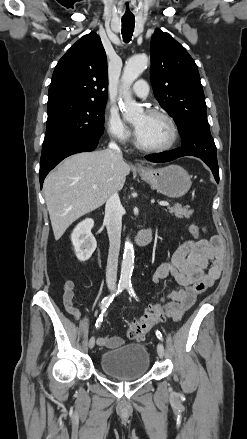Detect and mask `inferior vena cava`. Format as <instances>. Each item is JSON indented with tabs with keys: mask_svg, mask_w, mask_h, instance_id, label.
<instances>
[{
	"mask_svg": "<svg viewBox=\"0 0 247 439\" xmlns=\"http://www.w3.org/2000/svg\"><path fill=\"white\" fill-rule=\"evenodd\" d=\"M109 148L116 153L117 157L122 158V152L115 142H110ZM122 215L123 207L121 205L119 195L116 191H113L106 202L104 217V222L106 223L110 242L106 268V283L108 288L110 289H115L117 282V267L121 243Z\"/></svg>",
	"mask_w": 247,
	"mask_h": 439,
	"instance_id": "602c4592",
	"label": "inferior vena cava"
}]
</instances>
